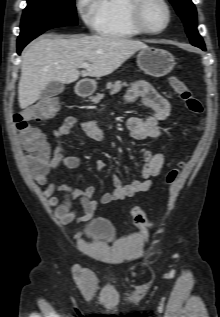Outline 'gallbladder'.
I'll return each instance as SVG.
<instances>
[{
	"label": "gallbladder",
	"mask_w": 220,
	"mask_h": 317,
	"mask_svg": "<svg viewBox=\"0 0 220 317\" xmlns=\"http://www.w3.org/2000/svg\"><path fill=\"white\" fill-rule=\"evenodd\" d=\"M65 89V85L58 81L50 82L47 87L42 91L41 98L47 99L61 94Z\"/></svg>",
	"instance_id": "obj_1"
}]
</instances>
